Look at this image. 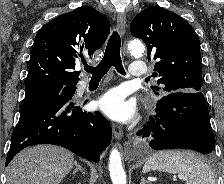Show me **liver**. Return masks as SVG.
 Listing matches in <instances>:
<instances>
[{
	"instance_id": "6515ba94",
	"label": "liver",
	"mask_w": 224,
	"mask_h": 184,
	"mask_svg": "<svg viewBox=\"0 0 224 184\" xmlns=\"http://www.w3.org/2000/svg\"><path fill=\"white\" fill-rule=\"evenodd\" d=\"M73 154L53 145L22 150L7 168V184H60L71 171Z\"/></svg>"
}]
</instances>
